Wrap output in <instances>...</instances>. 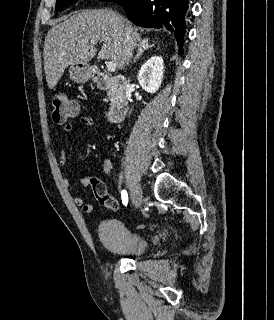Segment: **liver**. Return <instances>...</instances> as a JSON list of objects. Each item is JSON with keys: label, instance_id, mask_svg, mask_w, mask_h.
I'll use <instances>...</instances> for the list:
<instances>
[{"label": "liver", "instance_id": "1", "mask_svg": "<svg viewBox=\"0 0 274 320\" xmlns=\"http://www.w3.org/2000/svg\"><path fill=\"white\" fill-rule=\"evenodd\" d=\"M125 26L132 28L133 42L145 44L137 28L129 20L113 12L111 8L103 10H79L63 18L60 24L49 30L43 48L44 70L48 88L57 86L64 70L70 64H87L96 56V44L102 48L97 60H112L119 70L125 64V42L122 38Z\"/></svg>", "mask_w": 274, "mask_h": 320}]
</instances>
